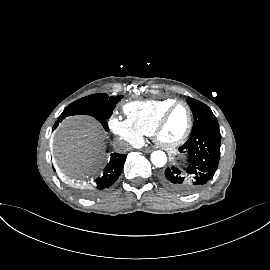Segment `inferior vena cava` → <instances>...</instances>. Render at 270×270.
Listing matches in <instances>:
<instances>
[{"label": "inferior vena cava", "instance_id": "inferior-vena-cava-1", "mask_svg": "<svg viewBox=\"0 0 270 270\" xmlns=\"http://www.w3.org/2000/svg\"><path fill=\"white\" fill-rule=\"evenodd\" d=\"M113 146H114L115 150L119 153H126L130 150L129 144L124 142V141H120V140H116L113 143Z\"/></svg>", "mask_w": 270, "mask_h": 270}]
</instances>
